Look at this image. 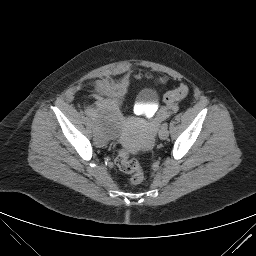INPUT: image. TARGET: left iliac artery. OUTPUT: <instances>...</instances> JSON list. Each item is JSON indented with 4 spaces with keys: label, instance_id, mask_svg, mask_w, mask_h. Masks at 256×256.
Returning <instances> with one entry per match:
<instances>
[{
    "label": "left iliac artery",
    "instance_id": "left-iliac-artery-1",
    "mask_svg": "<svg viewBox=\"0 0 256 256\" xmlns=\"http://www.w3.org/2000/svg\"><path fill=\"white\" fill-rule=\"evenodd\" d=\"M162 126L168 127V124L167 123H163Z\"/></svg>",
    "mask_w": 256,
    "mask_h": 256
}]
</instances>
